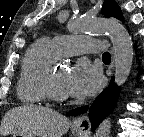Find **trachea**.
I'll list each match as a JSON object with an SVG mask.
<instances>
[{
	"label": "trachea",
	"mask_w": 144,
	"mask_h": 137,
	"mask_svg": "<svg viewBox=\"0 0 144 137\" xmlns=\"http://www.w3.org/2000/svg\"><path fill=\"white\" fill-rule=\"evenodd\" d=\"M102 59L103 60H111V55L109 52H105L103 55H102Z\"/></svg>",
	"instance_id": "3493384b"
}]
</instances>
